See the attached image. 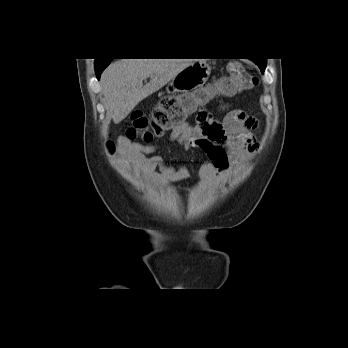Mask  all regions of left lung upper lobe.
Returning a JSON list of instances; mask_svg holds the SVG:
<instances>
[{
    "instance_id": "5c2ea615",
    "label": "left lung upper lobe",
    "mask_w": 348,
    "mask_h": 348,
    "mask_svg": "<svg viewBox=\"0 0 348 348\" xmlns=\"http://www.w3.org/2000/svg\"><path fill=\"white\" fill-rule=\"evenodd\" d=\"M256 63L259 65L262 72H264L266 67V59L264 60H257Z\"/></svg>"
}]
</instances>
